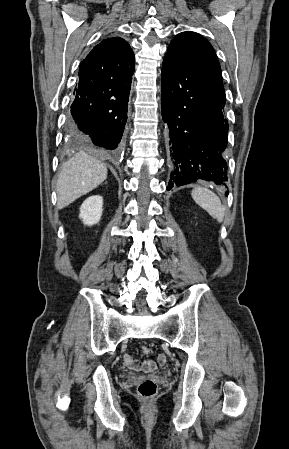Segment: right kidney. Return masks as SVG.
Returning <instances> with one entry per match:
<instances>
[{
    "label": "right kidney",
    "mask_w": 289,
    "mask_h": 449,
    "mask_svg": "<svg viewBox=\"0 0 289 449\" xmlns=\"http://www.w3.org/2000/svg\"><path fill=\"white\" fill-rule=\"evenodd\" d=\"M103 212V197L92 195L88 197L80 207L79 218L88 226L97 224Z\"/></svg>",
    "instance_id": "right-kidney-1"
}]
</instances>
